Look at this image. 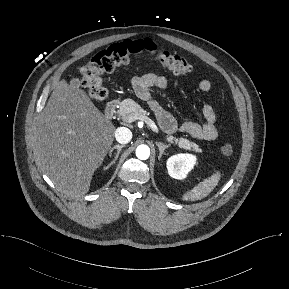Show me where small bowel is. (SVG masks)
<instances>
[{
  "mask_svg": "<svg viewBox=\"0 0 289 289\" xmlns=\"http://www.w3.org/2000/svg\"><path fill=\"white\" fill-rule=\"evenodd\" d=\"M167 86L168 80L166 77L153 73L138 76L133 80V88L137 96L151 102L158 120L165 131L171 133L180 130L200 140L211 141L216 139L218 136L216 114L209 104H204L202 107V114L205 119L204 123L186 120L179 124L168 111L151 99V89L163 90ZM211 87L212 83L208 79H203L198 83V89L202 92H208Z\"/></svg>",
  "mask_w": 289,
  "mask_h": 289,
  "instance_id": "obj_1",
  "label": "small bowel"
}]
</instances>
